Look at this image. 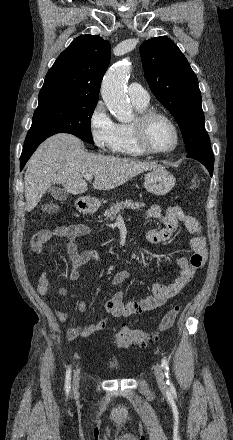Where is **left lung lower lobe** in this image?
I'll use <instances>...</instances> for the list:
<instances>
[{"instance_id": "0a47b994", "label": "left lung lower lobe", "mask_w": 233, "mask_h": 440, "mask_svg": "<svg viewBox=\"0 0 233 440\" xmlns=\"http://www.w3.org/2000/svg\"><path fill=\"white\" fill-rule=\"evenodd\" d=\"M187 157L193 158L201 162L209 171L210 175H213L214 168V156L211 149L199 151L196 153L188 154Z\"/></svg>"}]
</instances>
